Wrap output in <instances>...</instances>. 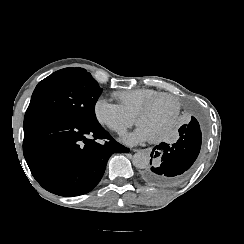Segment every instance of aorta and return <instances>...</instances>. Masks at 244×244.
Returning a JSON list of instances; mask_svg holds the SVG:
<instances>
[{
    "instance_id": "762f6f07",
    "label": "aorta",
    "mask_w": 244,
    "mask_h": 244,
    "mask_svg": "<svg viewBox=\"0 0 244 244\" xmlns=\"http://www.w3.org/2000/svg\"><path fill=\"white\" fill-rule=\"evenodd\" d=\"M149 156L144 152H137L133 155L132 163L138 169H144L149 165Z\"/></svg>"
}]
</instances>
